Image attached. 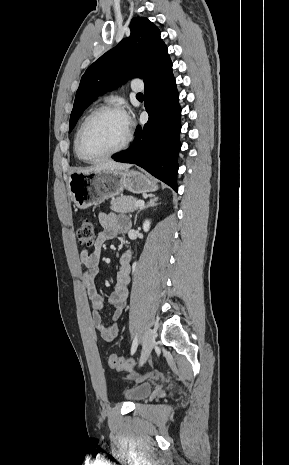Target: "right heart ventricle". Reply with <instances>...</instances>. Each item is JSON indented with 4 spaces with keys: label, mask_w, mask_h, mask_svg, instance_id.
I'll list each match as a JSON object with an SVG mask.
<instances>
[{
    "label": "right heart ventricle",
    "mask_w": 289,
    "mask_h": 465,
    "mask_svg": "<svg viewBox=\"0 0 289 465\" xmlns=\"http://www.w3.org/2000/svg\"><path fill=\"white\" fill-rule=\"evenodd\" d=\"M80 126L81 124L77 127L76 129V132L74 134V140H73V148H74V152H75V155L80 159L78 153H77V136H78V132H79V129H80Z\"/></svg>",
    "instance_id": "obj_1"
}]
</instances>
